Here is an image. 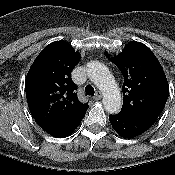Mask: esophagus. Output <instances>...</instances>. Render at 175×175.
<instances>
[{
  "label": "esophagus",
  "mask_w": 175,
  "mask_h": 175,
  "mask_svg": "<svg viewBox=\"0 0 175 175\" xmlns=\"http://www.w3.org/2000/svg\"><path fill=\"white\" fill-rule=\"evenodd\" d=\"M101 98H102V92H101V91H97L96 94H95V96L93 97V99H94L95 101H98V100H100Z\"/></svg>",
  "instance_id": "obj_1"
}]
</instances>
